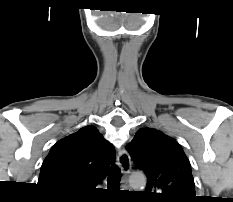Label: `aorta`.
I'll return each mask as SVG.
<instances>
[{"mask_svg": "<svg viewBox=\"0 0 233 202\" xmlns=\"http://www.w3.org/2000/svg\"><path fill=\"white\" fill-rule=\"evenodd\" d=\"M129 183L133 188H142L146 185V178L143 175H132Z\"/></svg>", "mask_w": 233, "mask_h": 202, "instance_id": "obj_1", "label": "aorta"}]
</instances>
